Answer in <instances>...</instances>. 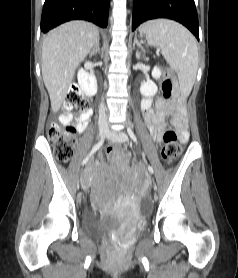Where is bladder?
I'll return each instance as SVG.
<instances>
[{"mask_svg": "<svg viewBox=\"0 0 238 278\" xmlns=\"http://www.w3.org/2000/svg\"><path fill=\"white\" fill-rule=\"evenodd\" d=\"M83 230L86 234L99 238L107 239L116 229V223L101 217L93 210H87L83 216Z\"/></svg>", "mask_w": 238, "mask_h": 278, "instance_id": "31cf9c89", "label": "bladder"}]
</instances>
